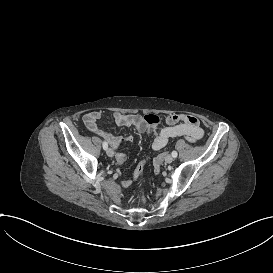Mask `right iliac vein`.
Returning <instances> with one entry per match:
<instances>
[{
	"instance_id": "63e3f726",
	"label": "right iliac vein",
	"mask_w": 273,
	"mask_h": 273,
	"mask_svg": "<svg viewBox=\"0 0 273 273\" xmlns=\"http://www.w3.org/2000/svg\"><path fill=\"white\" fill-rule=\"evenodd\" d=\"M106 153H107V155H108L109 157H113V156H114V151H113L111 148H108V149L106 150Z\"/></svg>"
}]
</instances>
